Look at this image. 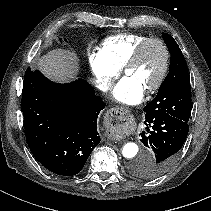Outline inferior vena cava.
Returning <instances> with one entry per match:
<instances>
[{
  "label": "inferior vena cava",
  "instance_id": "obj_1",
  "mask_svg": "<svg viewBox=\"0 0 211 211\" xmlns=\"http://www.w3.org/2000/svg\"><path fill=\"white\" fill-rule=\"evenodd\" d=\"M97 87L101 90H105L108 88V84L107 83L98 84Z\"/></svg>",
  "mask_w": 211,
  "mask_h": 211
}]
</instances>
